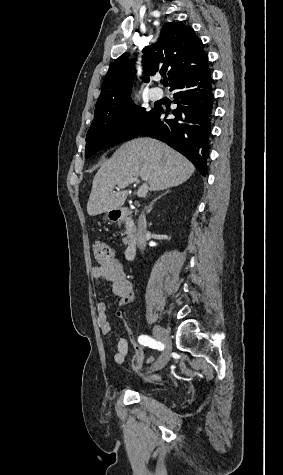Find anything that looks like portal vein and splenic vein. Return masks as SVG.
<instances>
[{
    "mask_svg": "<svg viewBox=\"0 0 283 475\" xmlns=\"http://www.w3.org/2000/svg\"><path fill=\"white\" fill-rule=\"evenodd\" d=\"M129 184H139L138 178H126L124 182H121V184H119L118 190L119 188H127ZM148 188L149 186H147V184H144V186H141V188H139L137 192V196H139V198H143V196H146L148 192Z\"/></svg>",
    "mask_w": 283,
    "mask_h": 475,
    "instance_id": "obj_1",
    "label": "portal vein and splenic vein"
}]
</instances>
